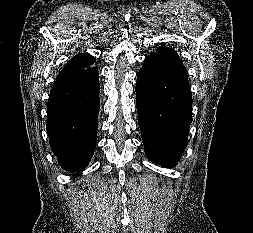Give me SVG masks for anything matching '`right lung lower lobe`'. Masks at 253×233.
I'll use <instances>...</instances> for the list:
<instances>
[{
  "label": "right lung lower lobe",
  "mask_w": 253,
  "mask_h": 233,
  "mask_svg": "<svg viewBox=\"0 0 253 233\" xmlns=\"http://www.w3.org/2000/svg\"><path fill=\"white\" fill-rule=\"evenodd\" d=\"M99 75L96 67L63 69L52 87L46 128L60 166L83 170L93 156L98 126Z\"/></svg>",
  "instance_id": "98d812e1"
}]
</instances>
